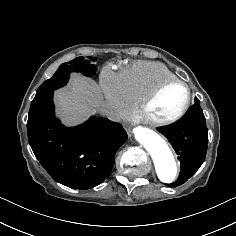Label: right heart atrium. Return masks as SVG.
<instances>
[{
  "mask_svg": "<svg viewBox=\"0 0 236 236\" xmlns=\"http://www.w3.org/2000/svg\"><path fill=\"white\" fill-rule=\"evenodd\" d=\"M98 87L105 114L109 119H120L128 115L132 103L125 93L123 80L119 74L104 69L100 74Z\"/></svg>",
  "mask_w": 236,
  "mask_h": 236,
  "instance_id": "d8ad5b80",
  "label": "right heart atrium"
}]
</instances>
